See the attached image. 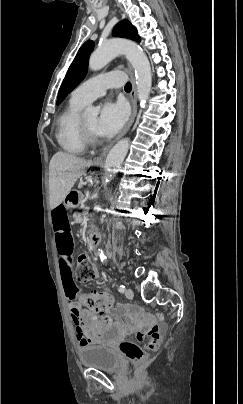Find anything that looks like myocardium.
Here are the masks:
<instances>
[{"mask_svg": "<svg viewBox=\"0 0 243 404\" xmlns=\"http://www.w3.org/2000/svg\"><path fill=\"white\" fill-rule=\"evenodd\" d=\"M89 34H99L98 32H89ZM101 43L104 44L105 41L101 40ZM78 130L81 134V136L83 137V139L87 142V143H91L94 141V134L90 133L83 125L82 120H79L78 123Z\"/></svg>", "mask_w": 243, "mask_h": 404, "instance_id": "obj_1", "label": "myocardium"}]
</instances>
